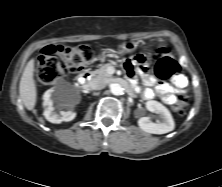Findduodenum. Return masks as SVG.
Returning a JSON list of instances; mask_svg holds the SVG:
<instances>
[{"label":"duodenum","instance_id":"410a0bca","mask_svg":"<svg viewBox=\"0 0 222 187\" xmlns=\"http://www.w3.org/2000/svg\"><path fill=\"white\" fill-rule=\"evenodd\" d=\"M91 77H92V73L89 71H85L80 74V76L78 77V81L83 88H87Z\"/></svg>","mask_w":222,"mask_h":187}]
</instances>
